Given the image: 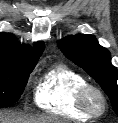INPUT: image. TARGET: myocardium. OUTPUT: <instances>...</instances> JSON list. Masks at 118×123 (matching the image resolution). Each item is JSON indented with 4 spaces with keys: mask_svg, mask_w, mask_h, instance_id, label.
<instances>
[{
    "mask_svg": "<svg viewBox=\"0 0 118 123\" xmlns=\"http://www.w3.org/2000/svg\"><path fill=\"white\" fill-rule=\"evenodd\" d=\"M92 96H96L100 100V107L96 109L91 101ZM78 108L91 118H97L105 114L107 110V100L101 89L98 87L86 84L77 94Z\"/></svg>",
    "mask_w": 118,
    "mask_h": 123,
    "instance_id": "1",
    "label": "myocardium"
}]
</instances>
